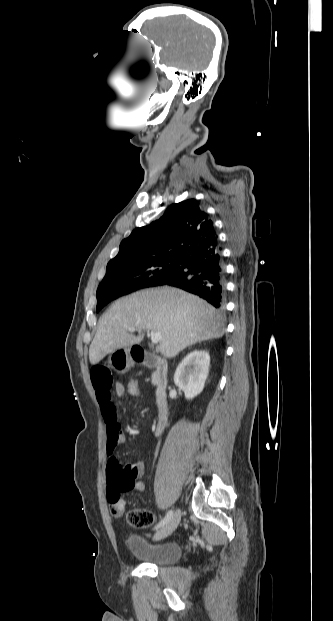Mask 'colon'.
<instances>
[{"instance_id":"obj_1","label":"colon","mask_w":333,"mask_h":621,"mask_svg":"<svg viewBox=\"0 0 333 621\" xmlns=\"http://www.w3.org/2000/svg\"><path fill=\"white\" fill-rule=\"evenodd\" d=\"M125 395L136 399L140 395V383L137 379H131L124 384ZM109 484L116 490L126 492L134 487V479L130 472L125 469L118 461L109 463L107 469ZM124 511L123 504L116 502L110 506V513L113 516H120ZM127 522L135 528H146L154 523V515L146 509L135 508L127 513Z\"/></svg>"}]
</instances>
